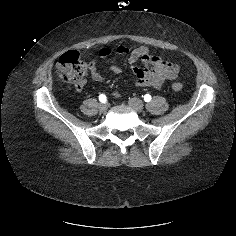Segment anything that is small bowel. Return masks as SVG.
<instances>
[{
  "instance_id": "1",
  "label": "small bowel",
  "mask_w": 236,
  "mask_h": 236,
  "mask_svg": "<svg viewBox=\"0 0 236 236\" xmlns=\"http://www.w3.org/2000/svg\"><path fill=\"white\" fill-rule=\"evenodd\" d=\"M116 53L118 55H126V63L129 65L135 76L136 86H149L159 89L166 80L175 79L179 72L176 64L164 60L146 46H138L134 49H130L125 45H121L117 47ZM111 54L112 50L110 48H102L99 52V56L102 58L108 57ZM137 61H141L144 67H135L134 64ZM89 71L91 78L94 81H102L104 79V76L99 71L97 60H92L89 63ZM121 71L122 66L118 64L113 65L110 68L111 73L117 74ZM82 87L83 85L78 86L77 89L81 90Z\"/></svg>"
}]
</instances>
